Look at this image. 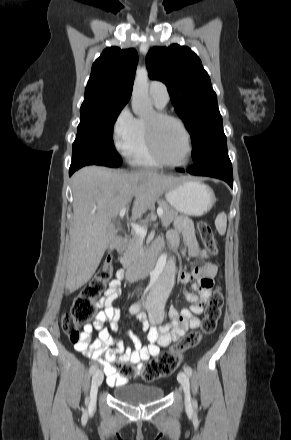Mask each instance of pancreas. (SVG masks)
I'll list each match as a JSON object with an SVG mask.
<instances>
[{"label":"pancreas","mask_w":291,"mask_h":440,"mask_svg":"<svg viewBox=\"0 0 291 440\" xmlns=\"http://www.w3.org/2000/svg\"><path fill=\"white\" fill-rule=\"evenodd\" d=\"M160 205L163 209L161 219L162 224L164 227H168L170 223L178 216V212L164 201H161ZM120 251L123 252L120 262L125 268H129L132 264H137L143 255L141 237L133 232L132 237L122 244Z\"/></svg>","instance_id":"obj_1"}]
</instances>
